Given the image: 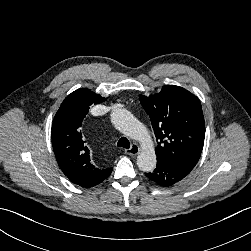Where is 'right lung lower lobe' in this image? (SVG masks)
I'll return each instance as SVG.
<instances>
[{"instance_id":"right-lung-lower-lobe-1","label":"right lung lower lobe","mask_w":251,"mask_h":251,"mask_svg":"<svg viewBox=\"0 0 251 251\" xmlns=\"http://www.w3.org/2000/svg\"><path fill=\"white\" fill-rule=\"evenodd\" d=\"M111 171H112V169H111ZM110 173H111V172H110ZM110 173H109V175H110ZM109 175H108V176H109ZM108 176H107V177H108ZM107 177H106V178H107ZM106 178H105V179H106Z\"/></svg>"}]
</instances>
